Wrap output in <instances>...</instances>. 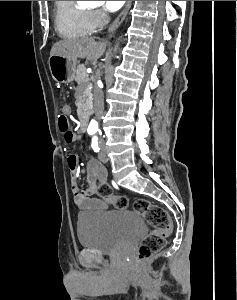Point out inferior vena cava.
<instances>
[{
  "label": "inferior vena cava",
  "mask_w": 237,
  "mask_h": 300,
  "mask_svg": "<svg viewBox=\"0 0 237 300\" xmlns=\"http://www.w3.org/2000/svg\"><path fill=\"white\" fill-rule=\"evenodd\" d=\"M109 21V17H107V15H104V25H108ZM94 111L96 119L100 121L104 111V95L103 91H101L98 85H96L94 89Z\"/></svg>",
  "instance_id": "602c4592"
}]
</instances>
